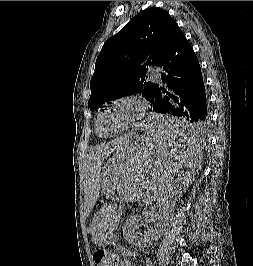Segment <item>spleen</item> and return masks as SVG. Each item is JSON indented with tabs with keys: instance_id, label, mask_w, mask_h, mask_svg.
Wrapping results in <instances>:
<instances>
[{
	"instance_id": "3e777b00",
	"label": "spleen",
	"mask_w": 253,
	"mask_h": 266,
	"mask_svg": "<svg viewBox=\"0 0 253 266\" xmlns=\"http://www.w3.org/2000/svg\"><path fill=\"white\" fill-rule=\"evenodd\" d=\"M143 138L145 145L135 151V160H121V185L116 194L122 199H139L140 204H173L183 199L191 174H197L202 159L203 141L201 123H191L190 117H145ZM118 211L115 207H102L92 218V235L98 246H117Z\"/></svg>"
}]
</instances>
